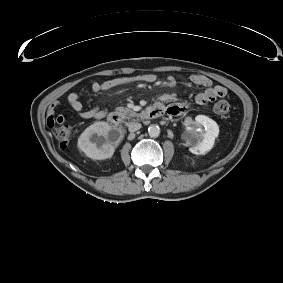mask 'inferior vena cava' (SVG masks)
I'll list each match as a JSON object with an SVG mask.
<instances>
[{
    "instance_id": "602c4592",
    "label": "inferior vena cava",
    "mask_w": 283,
    "mask_h": 283,
    "mask_svg": "<svg viewBox=\"0 0 283 283\" xmlns=\"http://www.w3.org/2000/svg\"><path fill=\"white\" fill-rule=\"evenodd\" d=\"M140 128H141V124L138 123V122H130L128 124V130L130 132H135V131L139 130Z\"/></svg>"
}]
</instances>
